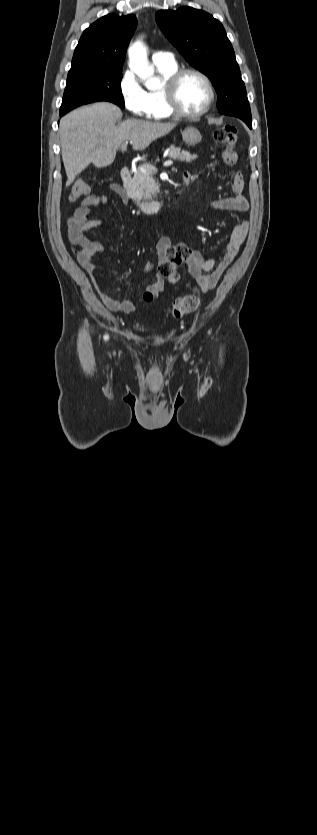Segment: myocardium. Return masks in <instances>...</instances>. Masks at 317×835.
Here are the masks:
<instances>
[{
	"label": "myocardium",
	"mask_w": 317,
	"mask_h": 835,
	"mask_svg": "<svg viewBox=\"0 0 317 835\" xmlns=\"http://www.w3.org/2000/svg\"><path fill=\"white\" fill-rule=\"evenodd\" d=\"M189 74H194V75L200 77L204 81V83H205V85L208 89V99H207L204 107L196 113L185 112L180 107V104H179V101H178V89H179L180 82L186 75H189ZM164 91H165V96H166L167 103L169 105V108H170L172 114L176 117L183 118V119H196V118L202 117L203 115H205L210 110V108H211V106L214 102V99H215V89H214V86H213V83H212L210 77L207 74H205L203 71H201L197 68H191V67L178 69L176 72H174L167 79V81L164 85Z\"/></svg>",
	"instance_id": "obj_1"
}]
</instances>
